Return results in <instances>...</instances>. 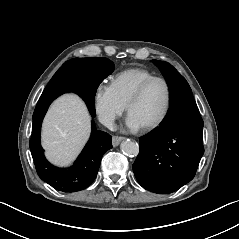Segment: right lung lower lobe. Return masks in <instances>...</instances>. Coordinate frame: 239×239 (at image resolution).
<instances>
[{
    "mask_svg": "<svg viewBox=\"0 0 239 239\" xmlns=\"http://www.w3.org/2000/svg\"><path fill=\"white\" fill-rule=\"evenodd\" d=\"M113 70L101 67L93 59H80L67 65L63 72L71 84L60 91L41 96L33 113L30 150L39 177L56 190L76 192L87 188L96 178L104 153L112 148L111 136L97 130L92 123L91 137L80 156L68 169H60L51 165L44 156L40 144V131L43 118L54 99L66 92L79 94L95 117V94L99 84Z\"/></svg>",
    "mask_w": 239,
    "mask_h": 239,
    "instance_id": "1",
    "label": "right lung lower lobe"
}]
</instances>
